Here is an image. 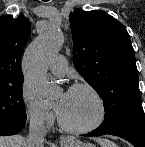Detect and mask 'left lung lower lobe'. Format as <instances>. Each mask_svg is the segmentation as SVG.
Instances as JSON below:
<instances>
[{"instance_id":"obj_1","label":"left lung lower lobe","mask_w":145,"mask_h":147,"mask_svg":"<svg viewBox=\"0 0 145 147\" xmlns=\"http://www.w3.org/2000/svg\"><path fill=\"white\" fill-rule=\"evenodd\" d=\"M105 134L119 136L129 141L135 147H145V123L123 126L109 131L97 128L83 136H101Z\"/></svg>"}]
</instances>
